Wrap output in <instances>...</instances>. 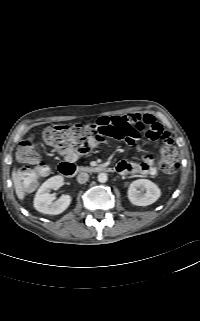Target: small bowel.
I'll return each instance as SVG.
<instances>
[{
	"mask_svg": "<svg viewBox=\"0 0 200 321\" xmlns=\"http://www.w3.org/2000/svg\"><path fill=\"white\" fill-rule=\"evenodd\" d=\"M113 125L119 132V139L124 140L128 145H135L140 140L141 132H145L149 140H160L164 144L161 153L173 144V139L163 126L156 121L153 115L148 113H133L124 116L101 117L97 120V125ZM69 161L75 160L73 153H67ZM116 171L122 175H144L153 176L157 173V165L152 155L146 154L142 161L133 163L120 161Z\"/></svg>",
	"mask_w": 200,
	"mask_h": 321,
	"instance_id": "obj_1",
	"label": "small bowel"
}]
</instances>
